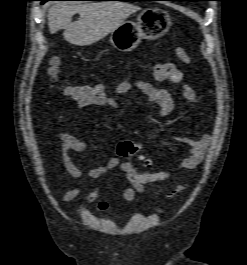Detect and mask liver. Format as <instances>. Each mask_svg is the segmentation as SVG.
Here are the masks:
<instances>
[{"mask_svg": "<svg viewBox=\"0 0 247 265\" xmlns=\"http://www.w3.org/2000/svg\"><path fill=\"white\" fill-rule=\"evenodd\" d=\"M139 9L132 4L113 1L85 4L56 2L48 9V27L51 34L64 29V39L70 44L86 46L106 37ZM76 13L79 19L72 22Z\"/></svg>", "mask_w": 247, "mask_h": 265, "instance_id": "6515ba94", "label": "liver"}]
</instances>
